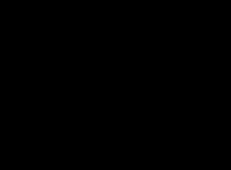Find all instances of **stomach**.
<instances>
[{
  "mask_svg": "<svg viewBox=\"0 0 231 170\" xmlns=\"http://www.w3.org/2000/svg\"><path fill=\"white\" fill-rule=\"evenodd\" d=\"M135 34L129 35V41L136 53H138L139 61L143 67L151 70H158L160 67L156 63V56L153 47L148 43L141 40L138 30Z\"/></svg>",
  "mask_w": 231,
  "mask_h": 170,
  "instance_id": "obj_1",
  "label": "stomach"
}]
</instances>
